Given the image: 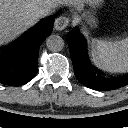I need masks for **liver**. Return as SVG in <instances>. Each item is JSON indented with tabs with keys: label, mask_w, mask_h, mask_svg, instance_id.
I'll return each instance as SVG.
<instances>
[{
	"label": "liver",
	"mask_w": 128,
	"mask_h": 128,
	"mask_svg": "<svg viewBox=\"0 0 128 128\" xmlns=\"http://www.w3.org/2000/svg\"><path fill=\"white\" fill-rule=\"evenodd\" d=\"M86 0H0V46L37 23L36 9L49 4L52 9L59 5L81 10Z\"/></svg>",
	"instance_id": "liver-1"
}]
</instances>
